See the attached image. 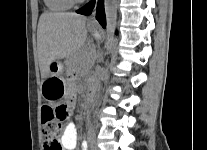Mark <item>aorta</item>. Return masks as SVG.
Returning <instances> with one entry per match:
<instances>
[{
	"label": "aorta",
	"mask_w": 207,
	"mask_h": 150,
	"mask_svg": "<svg viewBox=\"0 0 207 150\" xmlns=\"http://www.w3.org/2000/svg\"><path fill=\"white\" fill-rule=\"evenodd\" d=\"M106 16V47L110 49L114 40L117 22V0H104Z\"/></svg>",
	"instance_id": "aorta-1"
}]
</instances>
